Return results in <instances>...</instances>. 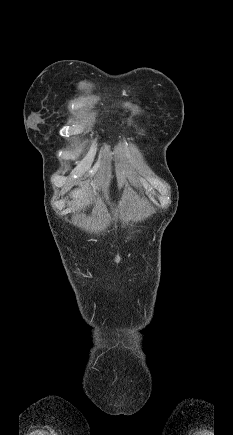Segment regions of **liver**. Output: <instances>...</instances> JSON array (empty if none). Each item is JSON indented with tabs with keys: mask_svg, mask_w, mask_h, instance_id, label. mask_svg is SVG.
<instances>
[{
	"mask_svg": "<svg viewBox=\"0 0 233 435\" xmlns=\"http://www.w3.org/2000/svg\"><path fill=\"white\" fill-rule=\"evenodd\" d=\"M86 189H87L86 187H83V188L73 192L72 196L75 199L74 202H76L79 205L83 204L84 199H85V197L87 195L86 194Z\"/></svg>",
	"mask_w": 233,
	"mask_h": 435,
	"instance_id": "1",
	"label": "liver"
}]
</instances>
